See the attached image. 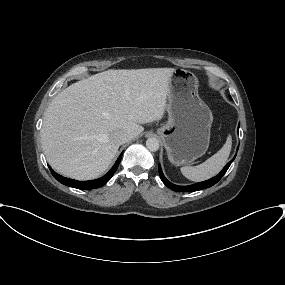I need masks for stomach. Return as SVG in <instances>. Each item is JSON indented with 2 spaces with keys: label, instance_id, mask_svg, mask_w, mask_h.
Masks as SVG:
<instances>
[{
  "label": "stomach",
  "instance_id": "0dacf381",
  "mask_svg": "<svg viewBox=\"0 0 285 285\" xmlns=\"http://www.w3.org/2000/svg\"><path fill=\"white\" fill-rule=\"evenodd\" d=\"M198 78L190 71L175 69L170 78L168 121L157 130L175 166L193 162L207 151L213 116L198 95Z\"/></svg>",
  "mask_w": 285,
  "mask_h": 285
}]
</instances>
